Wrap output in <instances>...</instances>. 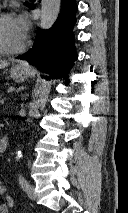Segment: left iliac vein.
Returning <instances> with one entry per match:
<instances>
[{
    "mask_svg": "<svg viewBox=\"0 0 128 213\" xmlns=\"http://www.w3.org/2000/svg\"><path fill=\"white\" fill-rule=\"evenodd\" d=\"M27 194H28L29 198H31L32 200H35V199H36V192H35V187H34V185L30 184V185L28 186Z\"/></svg>",
    "mask_w": 128,
    "mask_h": 213,
    "instance_id": "4c4485c4",
    "label": "left iliac vein"
}]
</instances>
